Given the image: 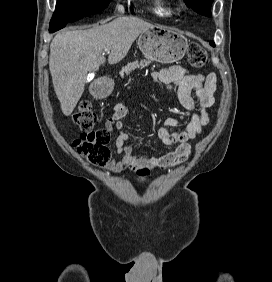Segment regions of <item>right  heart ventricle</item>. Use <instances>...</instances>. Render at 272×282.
<instances>
[{
    "mask_svg": "<svg viewBox=\"0 0 272 282\" xmlns=\"http://www.w3.org/2000/svg\"><path fill=\"white\" fill-rule=\"evenodd\" d=\"M156 12L160 16H169L172 13L171 4L163 0H157Z\"/></svg>",
    "mask_w": 272,
    "mask_h": 282,
    "instance_id": "right-heart-ventricle-1",
    "label": "right heart ventricle"
}]
</instances>
